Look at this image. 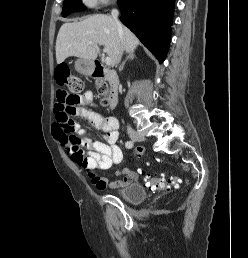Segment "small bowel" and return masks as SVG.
Wrapping results in <instances>:
<instances>
[{
    "instance_id": "small-bowel-1",
    "label": "small bowel",
    "mask_w": 248,
    "mask_h": 258,
    "mask_svg": "<svg viewBox=\"0 0 248 258\" xmlns=\"http://www.w3.org/2000/svg\"><path fill=\"white\" fill-rule=\"evenodd\" d=\"M65 92L60 88L58 90V98ZM77 106L73 107V115L86 119L96 129L103 133L104 141L92 140L86 135V131L82 129L78 122H73L74 131L77 132L82 139L80 141H72L67 135L62 133L58 124L54 126V133L60 141L65 153L76 165L85 169H98L105 171L113 165L120 164L123 160V153L117 145L118 121L114 117H104L91 107L96 108L97 105L91 91H85L78 99ZM92 148L94 153L87 154L85 148ZM117 175L123 177L116 181L108 182L99 176H90V181L99 190L119 189L136 180V175L128 168L124 167L117 172Z\"/></svg>"
}]
</instances>
